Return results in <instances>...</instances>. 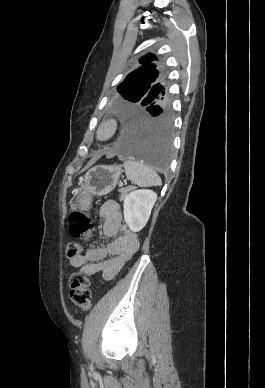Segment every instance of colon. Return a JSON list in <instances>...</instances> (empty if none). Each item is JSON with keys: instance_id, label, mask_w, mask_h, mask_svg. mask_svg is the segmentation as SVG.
I'll return each mask as SVG.
<instances>
[{"instance_id": "1", "label": "colon", "mask_w": 265, "mask_h": 388, "mask_svg": "<svg viewBox=\"0 0 265 388\" xmlns=\"http://www.w3.org/2000/svg\"><path fill=\"white\" fill-rule=\"evenodd\" d=\"M69 231L72 237L88 240L94 230L92 218L80 210L73 211L69 217ZM82 246L79 243H69L66 249V257L74 259L81 255ZM70 299L83 310L90 309L92 305V294L88 277L80 272L73 273L69 279Z\"/></svg>"}]
</instances>
